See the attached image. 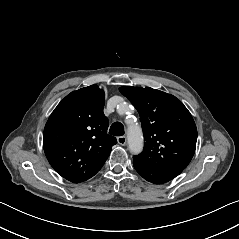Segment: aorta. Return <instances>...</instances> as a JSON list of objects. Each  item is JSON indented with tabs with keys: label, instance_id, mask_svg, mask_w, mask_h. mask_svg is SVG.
<instances>
[{
	"label": "aorta",
	"instance_id": "aorta-1",
	"mask_svg": "<svg viewBox=\"0 0 239 239\" xmlns=\"http://www.w3.org/2000/svg\"><path fill=\"white\" fill-rule=\"evenodd\" d=\"M119 108H121V106ZM127 137L129 141V150L133 154L140 153L143 148V135L141 128L138 126H131L128 129Z\"/></svg>",
	"mask_w": 239,
	"mask_h": 239
}]
</instances>
